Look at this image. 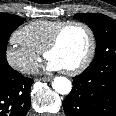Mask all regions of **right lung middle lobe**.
Segmentation results:
<instances>
[{
  "instance_id": "1",
  "label": "right lung middle lobe",
  "mask_w": 116,
  "mask_h": 116,
  "mask_svg": "<svg viewBox=\"0 0 116 116\" xmlns=\"http://www.w3.org/2000/svg\"><path fill=\"white\" fill-rule=\"evenodd\" d=\"M24 22V19L7 13H0V79L10 78L15 70L6 59L7 42L12 32Z\"/></svg>"
}]
</instances>
